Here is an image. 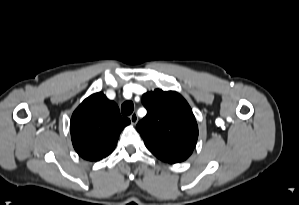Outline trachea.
Masks as SVG:
<instances>
[{"mask_svg": "<svg viewBox=\"0 0 299 205\" xmlns=\"http://www.w3.org/2000/svg\"><path fill=\"white\" fill-rule=\"evenodd\" d=\"M134 110L133 102L126 101L121 106V112L123 115H130Z\"/></svg>", "mask_w": 299, "mask_h": 205, "instance_id": "3493384b", "label": "trachea"}]
</instances>
